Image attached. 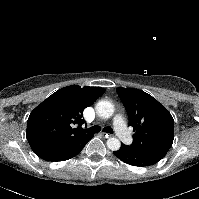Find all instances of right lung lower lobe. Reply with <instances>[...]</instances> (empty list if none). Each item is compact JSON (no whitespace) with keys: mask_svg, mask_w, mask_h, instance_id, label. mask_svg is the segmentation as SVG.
<instances>
[{"mask_svg":"<svg viewBox=\"0 0 199 199\" xmlns=\"http://www.w3.org/2000/svg\"><path fill=\"white\" fill-rule=\"evenodd\" d=\"M93 134H88L79 140H76L66 146L35 152L40 158L47 161H64L77 155L93 137Z\"/></svg>","mask_w":199,"mask_h":199,"instance_id":"right-lung-lower-lobe-1","label":"right lung lower lobe"}]
</instances>
